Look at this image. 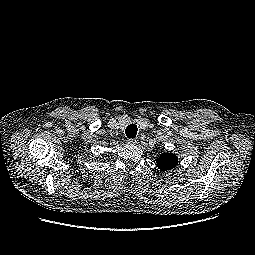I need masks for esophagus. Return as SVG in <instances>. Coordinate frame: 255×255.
Wrapping results in <instances>:
<instances>
[{"mask_svg": "<svg viewBox=\"0 0 255 255\" xmlns=\"http://www.w3.org/2000/svg\"><path fill=\"white\" fill-rule=\"evenodd\" d=\"M128 143L132 144V145H136L138 143V139L137 138H130V139H128Z\"/></svg>", "mask_w": 255, "mask_h": 255, "instance_id": "obj_1", "label": "esophagus"}]
</instances>
